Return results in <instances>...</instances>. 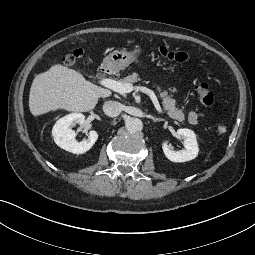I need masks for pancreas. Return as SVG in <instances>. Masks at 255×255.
<instances>
[{
	"mask_svg": "<svg viewBox=\"0 0 255 255\" xmlns=\"http://www.w3.org/2000/svg\"><path fill=\"white\" fill-rule=\"evenodd\" d=\"M141 81V78L137 73H133L124 79L119 80V82L124 84H133L135 82ZM148 83V82H147ZM157 90L160 92V97L162 99V105L170 118L183 122L185 120V115L182 110L176 107V101L168 94L166 90H161V87L157 86Z\"/></svg>",
	"mask_w": 255,
	"mask_h": 255,
	"instance_id": "obj_1",
	"label": "pancreas"
}]
</instances>
